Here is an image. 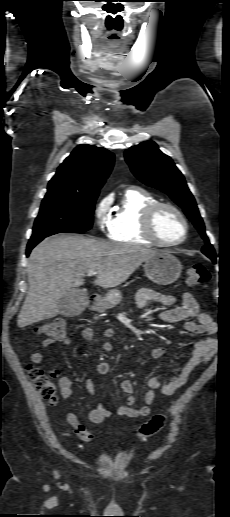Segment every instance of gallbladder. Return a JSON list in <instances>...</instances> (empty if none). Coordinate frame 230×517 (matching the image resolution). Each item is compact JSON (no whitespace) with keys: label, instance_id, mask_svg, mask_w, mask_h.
<instances>
[{"label":"gallbladder","instance_id":"bac80fb5","mask_svg":"<svg viewBox=\"0 0 230 517\" xmlns=\"http://www.w3.org/2000/svg\"><path fill=\"white\" fill-rule=\"evenodd\" d=\"M88 303L87 293L82 290H71L59 300L60 314L64 316L79 315Z\"/></svg>","mask_w":230,"mask_h":517}]
</instances>
